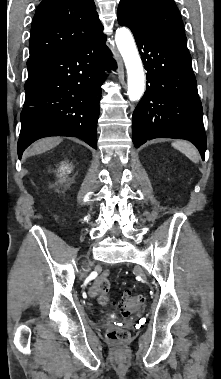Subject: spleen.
<instances>
[{"mask_svg": "<svg viewBox=\"0 0 221 379\" xmlns=\"http://www.w3.org/2000/svg\"><path fill=\"white\" fill-rule=\"evenodd\" d=\"M172 146L185 154L192 162L198 163L199 153L191 143L187 141L177 140L172 143Z\"/></svg>", "mask_w": 221, "mask_h": 379, "instance_id": "spleen-1", "label": "spleen"}]
</instances>
